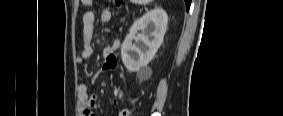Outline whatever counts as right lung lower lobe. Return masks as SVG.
<instances>
[{
	"label": "right lung lower lobe",
	"mask_w": 283,
	"mask_h": 116,
	"mask_svg": "<svg viewBox=\"0 0 283 116\" xmlns=\"http://www.w3.org/2000/svg\"><path fill=\"white\" fill-rule=\"evenodd\" d=\"M185 3H186V9L189 10L190 4H191V0H185Z\"/></svg>",
	"instance_id": "98d812e1"
}]
</instances>
